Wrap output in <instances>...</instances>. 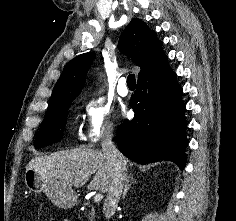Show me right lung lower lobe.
Listing matches in <instances>:
<instances>
[{"label":"right lung lower lobe","instance_id":"98d812e1","mask_svg":"<svg viewBox=\"0 0 236 221\" xmlns=\"http://www.w3.org/2000/svg\"><path fill=\"white\" fill-rule=\"evenodd\" d=\"M182 88L167 59L154 72L138 79L130 105V122L118 126L117 145L128 158L147 164L169 160L185 166L186 121Z\"/></svg>","mask_w":236,"mask_h":221}]
</instances>
